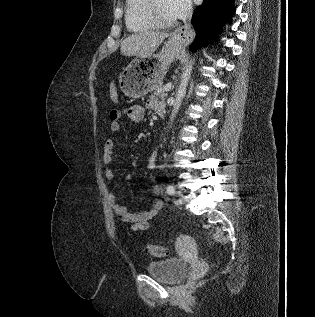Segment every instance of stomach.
<instances>
[{
  "instance_id": "1",
  "label": "stomach",
  "mask_w": 315,
  "mask_h": 317,
  "mask_svg": "<svg viewBox=\"0 0 315 317\" xmlns=\"http://www.w3.org/2000/svg\"><path fill=\"white\" fill-rule=\"evenodd\" d=\"M183 50V43L172 36L157 52L148 57H135L119 76V87L129 98H140L158 87L166 69Z\"/></svg>"
}]
</instances>
